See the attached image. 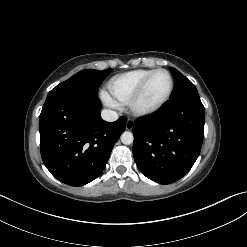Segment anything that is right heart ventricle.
Wrapping results in <instances>:
<instances>
[{
  "label": "right heart ventricle",
  "mask_w": 247,
  "mask_h": 247,
  "mask_svg": "<svg viewBox=\"0 0 247 247\" xmlns=\"http://www.w3.org/2000/svg\"><path fill=\"white\" fill-rule=\"evenodd\" d=\"M152 69H137L112 77L107 83L108 92L118 102L128 104L144 78Z\"/></svg>",
  "instance_id": "obj_1"
}]
</instances>
